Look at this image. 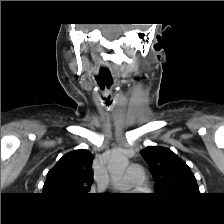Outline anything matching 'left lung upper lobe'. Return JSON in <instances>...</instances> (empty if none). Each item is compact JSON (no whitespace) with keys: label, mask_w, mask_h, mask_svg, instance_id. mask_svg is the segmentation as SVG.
<instances>
[{"label":"left lung upper lobe","mask_w":224,"mask_h":224,"mask_svg":"<svg viewBox=\"0 0 224 224\" xmlns=\"http://www.w3.org/2000/svg\"><path fill=\"white\" fill-rule=\"evenodd\" d=\"M155 179V194L168 197L199 195L196 178L188 165L170 149L148 146L140 152Z\"/></svg>","instance_id":"5c2ea615"}]
</instances>
